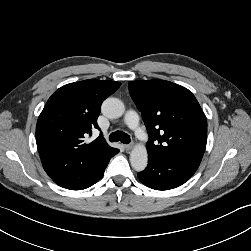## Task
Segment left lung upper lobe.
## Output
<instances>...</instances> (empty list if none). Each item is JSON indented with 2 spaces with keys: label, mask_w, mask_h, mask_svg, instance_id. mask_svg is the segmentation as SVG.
<instances>
[{
  "label": "left lung upper lobe",
  "mask_w": 251,
  "mask_h": 251,
  "mask_svg": "<svg viewBox=\"0 0 251 251\" xmlns=\"http://www.w3.org/2000/svg\"><path fill=\"white\" fill-rule=\"evenodd\" d=\"M129 92L147 128L148 155L199 166L207 120L192 92L165 80L130 81Z\"/></svg>",
  "instance_id": "left-lung-upper-lobe-1"
}]
</instances>
